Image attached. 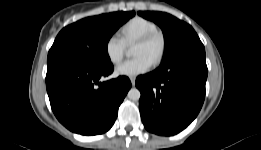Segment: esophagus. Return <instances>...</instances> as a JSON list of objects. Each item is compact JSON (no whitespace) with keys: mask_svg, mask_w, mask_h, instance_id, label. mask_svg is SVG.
Returning a JSON list of instances; mask_svg holds the SVG:
<instances>
[{"mask_svg":"<svg viewBox=\"0 0 261 150\" xmlns=\"http://www.w3.org/2000/svg\"><path fill=\"white\" fill-rule=\"evenodd\" d=\"M130 81H131L132 86H135L136 78L135 77H130Z\"/></svg>","mask_w":261,"mask_h":150,"instance_id":"1","label":"esophagus"}]
</instances>
